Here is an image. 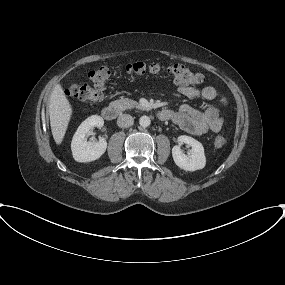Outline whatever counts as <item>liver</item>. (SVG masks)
<instances>
[{"label": "liver", "instance_id": "1", "mask_svg": "<svg viewBox=\"0 0 285 285\" xmlns=\"http://www.w3.org/2000/svg\"><path fill=\"white\" fill-rule=\"evenodd\" d=\"M50 125L57 145L64 139L72 115V107L60 84L53 89L49 101Z\"/></svg>", "mask_w": 285, "mask_h": 285}]
</instances>
